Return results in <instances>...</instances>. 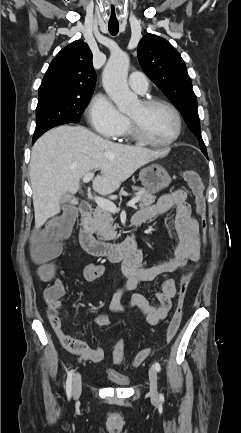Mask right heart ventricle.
<instances>
[{
    "label": "right heart ventricle",
    "instance_id": "1",
    "mask_svg": "<svg viewBox=\"0 0 241 433\" xmlns=\"http://www.w3.org/2000/svg\"><path fill=\"white\" fill-rule=\"evenodd\" d=\"M117 139H123L125 141H130L133 140V136L130 132V128L128 127V125L126 126V128L123 130V132L116 137Z\"/></svg>",
    "mask_w": 241,
    "mask_h": 433
}]
</instances>
